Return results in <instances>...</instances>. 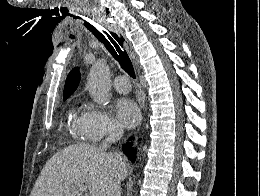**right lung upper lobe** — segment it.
<instances>
[{
  "instance_id": "right-lung-upper-lobe-1",
  "label": "right lung upper lobe",
  "mask_w": 260,
  "mask_h": 196,
  "mask_svg": "<svg viewBox=\"0 0 260 196\" xmlns=\"http://www.w3.org/2000/svg\"><path fill=\"white\" fill-rule=\"evenodd\" d=\"M80 81V73L77 69L72 70L66 79L63 98L66 100L76 89Z\"/></svg>"
}]
</instances>
